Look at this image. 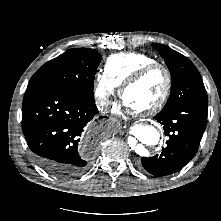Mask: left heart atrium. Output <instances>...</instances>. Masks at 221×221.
Instances as JSON below:
<instances>
[{
	"label": "left heart atrium",
	"mask_w": 221,
	"mask_h": 221,
	"mask_svg": "<svg viewBox=\"0 0 221 221\" xmlns=\"http://www.w3.org/2000/svg\"><path fill=\"white\" fill-rule=\"evenodd\" d=\"M123 108H124V109H133V108L128 104V102H127L125 99H124V101H123V104L117 106V107L115 108V110H116L117 112H119V111H121Z\"/></svg>",
	"instance_id": "1"
}]
</instances>
